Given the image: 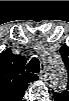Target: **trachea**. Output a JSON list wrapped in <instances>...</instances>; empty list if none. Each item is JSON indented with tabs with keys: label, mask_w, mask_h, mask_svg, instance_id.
<instances>
[{
	"label": "trachea",
	"mask_w": 69,
	"mask_h": 101,
	"mask_svg": "<svg viewBox=\"0 0 69 101\" xmlns=\"http://www.w3.org/2000/svg\"><path fill=\"white\" fill-rule=\"evenodd\" d=\"M26 70L32 73H39L40 72V62L39 60L34 57L32 58L26 66Z\"/></svg>",
	"instance_id": "trachea-1"
}]
</instances>
